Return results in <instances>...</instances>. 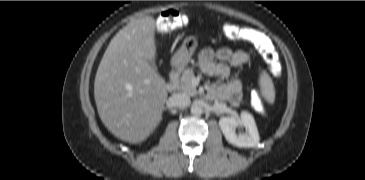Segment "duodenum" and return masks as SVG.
<instances>
[{
  "mask_svg": "<svg viewBox=\"0 0 365 180\" xmlns=\"http://www.w3.org/2000/svg\"><path fill=\"white\" fill-rule=\"evenodd\" d=\"M181 69L180 68H174L171 70L170 74H169V80L168 83L166 85V89L168 91H174L176 90L177 86H178V78L179 75L181 73Z\"/></svg>",
  "mask_w": 365,
  "mask_h": 180,
  "instance_id": "obj_1",
  "label": "duodenum"
}]
</instances>
